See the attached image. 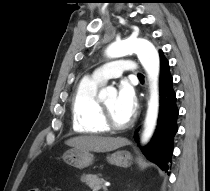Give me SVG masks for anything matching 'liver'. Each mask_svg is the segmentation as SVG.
I'll use <instances>...</instances> for the list:
<instances>
[{"label":"liver","mask_w":210,"mask_h":191,"mask_svg":"<svg viewBox=\"0 0 210 191\" xmlns=\"http://www.w3.org/2000/svg\"><path fill=\"white\" fill-rule=\"evenodd\" d=\"M66 145L75 149L108 152L125 146L129 143L126 138L104 136H78L67 140Z\"/></svg>","instance_id":"6515ba94"}]
</instances>
